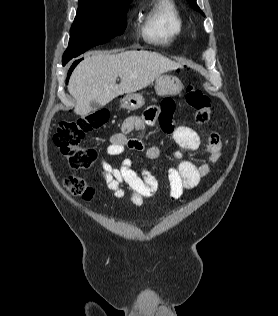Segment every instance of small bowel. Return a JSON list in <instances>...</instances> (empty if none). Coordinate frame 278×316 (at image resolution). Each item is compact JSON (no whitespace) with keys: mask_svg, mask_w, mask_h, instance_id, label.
<instances>
[{"mask_svg":"<svg viewBox=\"0 0 278 316\" xmlns=\"http://www.w3.org/2000/svg\"><path fill=\"white\" fill-rule=\"evenodd\" d=\"M174 111V102L166 98L161 106L153 104L144 112L143 116H129L122 122L121 131L110 137L106 153L109 156H118L127 150L141 151L148 160H155L160 156V148L157 145L146 146L144 143L146 126L160 122L168 131L178 150L174 157L175 166L167 170L169 180V196L172 200H178L185 190L195 188L200 181L209 175L210 165L215 164L221 157L222 141L217 132H211L205 143L199 134L189 126H174L171 123ZM138 132L131 136L132 132ZM203 147L208 154V160L193 162L184 158V153L194 152ZM100 167L107 188L118 199H124L126 191L121 187L126 184L131 200L136 206H142L144 198L152 197L158 190V180L148 169L137 172L133 169V162L124 158L119 165L114 166L106 159H100Z\"/></svg>","mask_w":278,"mask_h":316,"instance_id":"c3829d8e","label":"small bowel"}]
</instances>
